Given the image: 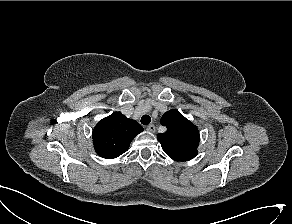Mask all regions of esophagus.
I'll return each instance as SVG.
<instances>
[{"mask_svg": "<svg viewBox=\"0 0 292 224\" xmlns=\"http://www.w3.org/2000/svg\"><path fill=\"white\" fill-rule=\"evenodd\" d=\"M146 129L147 131L152 132V133L156 131V128L153 124L148 125Z\"/></svg>", "mask_w": 292, "mask_h": 224, "instance_id": "1", "label": "esophagus"}]
</instances>
